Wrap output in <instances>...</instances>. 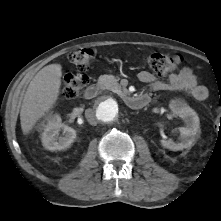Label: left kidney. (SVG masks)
<instances>
[{"instance_id": "5707ae66", "label": "left kidney", "mask_w": 221, "mask_h": 221, "mask_svg": "<svg viewBox=\"0 0 221 221\" xmlns=\"http://www.w3.org/2000/svg\"><path fill=\"white\" fill-rule=\"evenodd\" d=\"M169 107L174 114L184 120L185 126L179 128L180 142L176 143L171 139L161 140V145L172 151L191 148L195 139L200 134V121L197 113L184 101L179 99L172 100Z\"/></svg>"}]
</instances>
